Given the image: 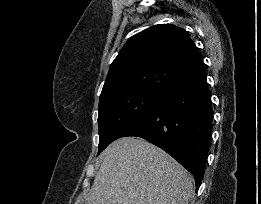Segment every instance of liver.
I'll return each instance as SVG.
<instances>
[{"mask_svg":"<svg viewBox=\"0 0 261 204\" xmlns=\"http://www.w3.org/2000/svg\"><path fill=\"white\" fill-rule=\"evenodd\" d=\"M87 204H188L194 178L159 147L123 137L101 154Z\"/></svg>","mask_w":261,"mask_h":204,"instance_id":"obj_1","label":"liver"}]
</instances>
